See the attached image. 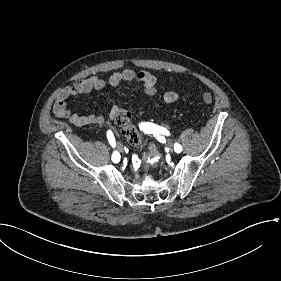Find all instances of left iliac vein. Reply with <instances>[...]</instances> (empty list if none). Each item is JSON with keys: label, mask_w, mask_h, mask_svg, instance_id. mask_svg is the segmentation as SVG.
Returning a JSON list of instances; mask_svg holds the SVG:
<instances>
[{"label": "left iliac vein", "mask_w": 281, "mask_h": 281, "mask_svg": "<svg viewBox=\"0 0 281 281\" xmlns=\"http://www.w3.org/2000/svg\"><path fill=\"white\" fill-rule=\"evenodd\" d=\"M168 147H169V149L172 151V150H173V143H172V142H169V143H168Z\"/></svg>", "instance_id": "left-iliac-vein-1"}]
</instances>
